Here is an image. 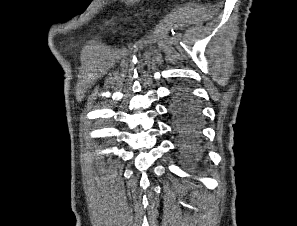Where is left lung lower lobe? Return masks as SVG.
I'll return each instance as SVG.
<instances>
[{"mask_svg":"<svg viewBox=\"0 0 297 226\" xmlns=\"http://www.w3.org/2000/svg\"><path fill=\"white\" fill-rule=\"evenodd\" d=\"M170 114L183 159L190 165L199 163L202 159L199 143L201 114L197 103L186 89L174 92Z\"/></svg>","mask_w":297,"mask_h":226,"instance_id":"obj_1","label":"left lung lower lobe"}]
</instances>
